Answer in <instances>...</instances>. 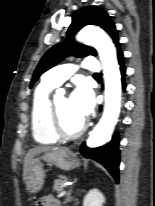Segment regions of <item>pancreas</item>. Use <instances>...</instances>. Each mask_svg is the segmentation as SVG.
<instances>
[{
  "mask_svg": "<svg viewBox=\"0 0 155 206\" xmlns=\"http://www.w3.org/2000/svg\"><path fill=\"white\" fill-rule=\"evenodd\" d=\"M67 180V177H65L64 175H59L58 178L54 180V190H58L61 185L67 182Z\"/></svg>",
  "mask_w": 155,
  "mask_h": 206,
  "instance_id": "obj_1",
  "label": "pancreas"
}]
</instances>
